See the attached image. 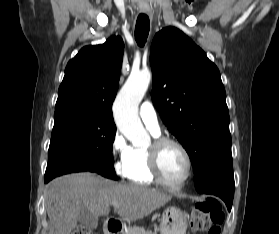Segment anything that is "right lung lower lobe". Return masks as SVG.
<instances>
[{
    "instance_id": "obj_1",
    "label": "right lung lower lobe",
    "mask_w": 279,
    "mask_h": 234,
    "mask_svg": "<svg viewBox=\"0 0 279 234\" xmlns=\"http://www.w3.org/2000/svg\"><path fill=\"white\" fill-rule=\"evenodd\" d=\"M80 171H92L91 168L82 163H70L60 166L53 174L45 176V183L49 182L53 178L72 172ZM93 172V171H92Z\"/></svg>"
}]
</instances>
